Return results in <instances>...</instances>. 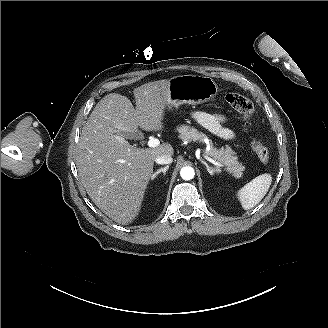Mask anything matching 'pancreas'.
Returning <instances> with one entry per match:
<instances>
[{
	"label": "pancreas",
	"instance_id": "pancreas-1",
	"mask_svg": "<svg viewBox=\"0 0 328 328\" xmlns=\"http://www.w3.org/2000/svg\"><path fill=\"white\" fill-rule=\"evenodd\" d=\"M178 132L180 138L186 141H202L205 138L204 134L199 133L195 128L190 129L187 125L179 127ZM207 155L226 165L227 173L235 178L241 177L242 171L245 170V166L239 164L236 152L229 145L220 150L211 147Z\"/></svg>",
	"mask_w": 328,
	"mask_h": 328
}]
</instances>
